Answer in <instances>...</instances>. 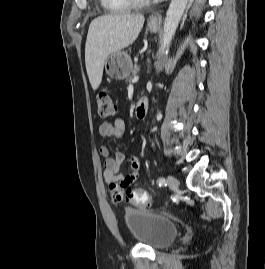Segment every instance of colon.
I'll use <instances>...</instances> for the list:
<instances>
[{
	"instance_id": "5ec220e1",
	"label": "colon",
	"mask_w": 265,
	"mask_h": 269,
	"mask_svg": "<svg viewBox=\"0 0 265 269\" xmlns=\"http://www.w3.org/2000/svg\"><path fill=\"white\" fill-rule=\"evenodd\" d=\"M97 110L103 120L113 117L116 113L115 102L107 89L101 90L97 96ZM110 192L114 197L123 198V192L118 187L110 188ZM126 199L133 205L145 207L150 204L151 195L142 189H134L126 194Z\"/></svg>"
}]
</instances>
